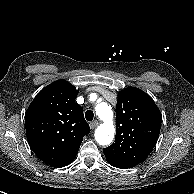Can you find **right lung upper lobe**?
<instances>
[{
    "instance_id": "1",
    "label": "right lung upper lobe",
    "mask_w": 194,
    "mask_h": 194,
    "mask_svg": "<svg viewBox=\"0 0 194 194\" xmlns=\"http://www.w3.org/2000/svg\"><path fill=\"white\" fill-rule=\"evenodd\" d=\"M78 90L65 80L43 88L25 113L32 151L46 164L61 168L72 163L90 127L83 108L75 102Z\"/></svg>"
}]
</instances>
